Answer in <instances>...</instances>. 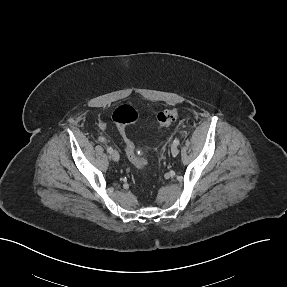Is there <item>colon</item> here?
Returning <instances> with one entry per match:
<instances>
[{
    "instance_id": "1",
    "label": "colon",
    "mask_w": 287,
    "mask_h": 287,
    "mask_svg": "<svg viewBox=\"0 0 287 287\" xmlns=\"http://www.w3.org/2000/svg\"><path fill=\"white\" fill-rule=\"evenodd\" d=\"M178 115L179 111L176 108H169L159 112L156 116L158 127L163 129L170 126L176 121ZM138 118V112L129 105H121L113 113V120L122 137L129 160L138 170L144 171L147 167V161L137 152L135 146L126 134V129L135 124Z\"/></svg>"
}]
</instances>
